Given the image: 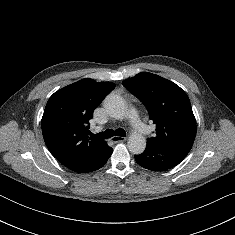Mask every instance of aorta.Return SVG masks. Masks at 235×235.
Returning <instances> with one entry per match:
<instances>
[{"mask_svg":"<svg viewBox=\"0 0 235 235\" xmlns=\"http://www.w3.org/2000/svg\"><path fill=\"white\" fill-rule=\"evenodd\" d=\"M104 108L109 116L123 120L127 114L126 104L122 97L110 94L104 99ZM128 149L133 154H141L146 148V139L140 133L133 132L128 139Z\"/></svg>","mask_w":235,"mask_h":235,"instance_id":"aorta-1","label":"aorta"}]
</instances>
